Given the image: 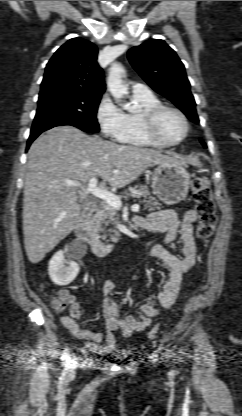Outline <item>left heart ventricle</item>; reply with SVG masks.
Returning a JSON list of instances; mask_svg holds the SVG:
<instances>
[{
	"label": "left heart ventricle",
	"mask_w": 242,
	"mask_h": 416,
	"mask_svg": "<svg viewBox=\"0 0 242 416\" xmlns=\"http://www.w3.org/2000/svg\"><path fill=\"white\" fill-rule=\"evenodd\" d=\"M159 133L168 140L179 139L184 133L182 120L173 112H165L158 120Z\"/></svg>",
	"instance_id": "left-heart-ventricle-1"
}]
</instances>
